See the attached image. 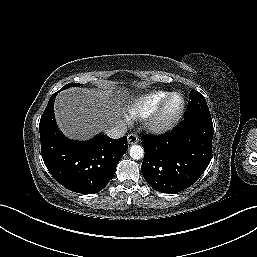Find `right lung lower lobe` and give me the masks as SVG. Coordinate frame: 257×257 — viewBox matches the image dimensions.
<instances>
[{
    "instance_id": "1",
    "label": "right lung lower lobe",
    "mask_w": 257,
    "mask_h": 257,
    "mask_svg": "<svg viewBox=\"0 0 257 257\" xmlns=\"http://www.w3.org/2000/svg\"><path fill=\"white\" fill-rule=\"evenodd\" d=\"M58 92L50 97L39 123L43 161L50 174L65 188L82 194L97 193L109 183L117 163L127 151V137L111 139L97 135L88 141L66 138L54 117Z\"/></svg>"
}]
</instances>
